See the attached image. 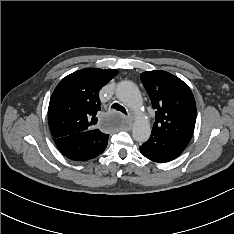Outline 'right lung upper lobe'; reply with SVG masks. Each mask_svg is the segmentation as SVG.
<instances>
[{
    "label": "right lung upper lobe",
    "instance_id": "obj_1",
    "mask_svg": "<svg viewBox=\"0 0 234 234\" xmlns=\"http://www.w3.org/2000/svg\"><path fill=\"white\" fill-rule=\"evenodd\" d=\"M117 74L115 69L85 68L63 78L55 88L48 108L52 136L57 139L95 130L96 115L100 110L99 90Z\"/></svg>",
    "mask_w": 234,
    "mask_h": 234
}]
</instances>
